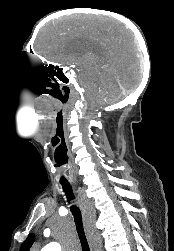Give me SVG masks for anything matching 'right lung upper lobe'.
Segmentation results:
<instances>
[{"label":"right lung upper lobe","mask_w":174,"mask_h":251,"mask_svg":"<svg viewBox=\"0 0 174 251\" xmlns=\"http://www.w3.org/2000/svg\"><path fill=\"white\" fill-rule=\"evenodd\" d=\"M35 240V236L33 233H31L27 239L23 242L20 251H29L30 247L32 246L33 242Z\"/></svg>","instance_id":"obj_1"}]
</instances>
